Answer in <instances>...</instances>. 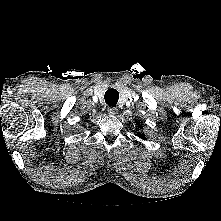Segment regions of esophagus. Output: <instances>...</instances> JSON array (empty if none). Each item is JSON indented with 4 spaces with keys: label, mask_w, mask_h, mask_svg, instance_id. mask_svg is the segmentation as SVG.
Here are the masks:
<instances>
[{
    "label": "esophagus",
    "mask_w": 221,
    "mask_h": 221,
    "mask_svg": "<svg viewBox=\"0 0 221 221\" xmlns=\"http://www.w3.org/2000/svg\"><path fill=\"white\" fill-rule=\"evenodd\" d=\"M108 113H109V115L114 116V115L118 114V109L115 107H110V108H108Z\"/></svg>",
    "instance_id": "34e87169"
}]
</instances>
